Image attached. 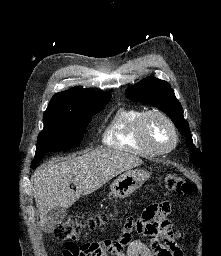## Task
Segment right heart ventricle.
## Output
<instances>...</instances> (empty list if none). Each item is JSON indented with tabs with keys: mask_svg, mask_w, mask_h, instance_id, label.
I'll use <instances>...</instances> for the list:
<instances>
[{
	"mask_svg": "<svg viewBox=\"0 0 221 256\" xmlns=\"http://www.w3.org/2000/svg\"><path fill=\"white\" fill-rule=\"evenodd\" d=\"M144 111L139 108H119L108 120L102 135L105 146L141 156L152 153L138 140L136 135L138 119Z\"/></svg>",
	"mask_w": 221,
	"mask_h": 256,
	"instance_id": "right-heart-ventricle-1",
	"label": "right heart ventricle"
}]
</instances>
